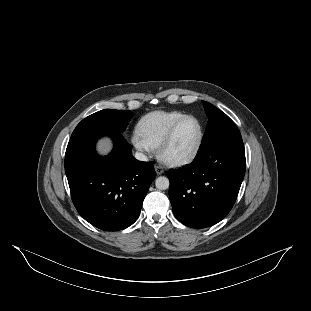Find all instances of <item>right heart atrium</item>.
<instances>
[{"label":"right heart atrium","mask_w":311,"mask_h":311,"mask_svg":"<svg viewBox=\"0 0 311 311\" xmlns=\"http://www.w3.org/2000/svg\"><path fill=\"white\" fill-rule=\"evenodd\" d=\"M131 144L133 147L142 154L145 158L151 156L153 154V148L144 143L141 139H139L136 135L132 136Z\"/></svg>","instance_id":"right-heart-atrium-1"}]
</instances>
